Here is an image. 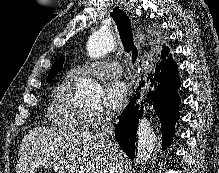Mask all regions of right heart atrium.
I'll return each instance as SVG.
<instances>
[{"label": "right heart atrium", "instance_id": "d8ad5b80", "mask_svg": "<svg viewBox=\"0 0 219 173\" xmlns=\"http://www.w3.org/2000/svg\"><path fill=\"white\" fill-rule=\"evenodd\" d=\"M110 118L111 116L107 111L103 109H99V110L88 113L87 124H88V127L90 128H97L101 126L102 124L106 123L107 121H109Z\"/></svg>", "mask_w": 219, "mask_h": 173}]
</instances>
